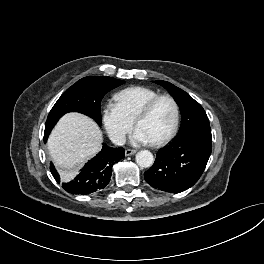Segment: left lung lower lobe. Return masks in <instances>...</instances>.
<instances>
[{
	"instance_id": "1",
	"label": "left lung lower lobe",
	"mask_w": 264,
	"mask_h": 264,
	"mask_svg": "<svg viewBox=\"0 0 264 264\" xmlns=\"http://www.w3.org/2000/svg\"><path fill=\"white\" fill-rule=\"evenodd\" d=\"M211 148L210 127L199 128L185 136L176 137L158 152L153 166L144 173V178L152 187L162 191H185L202 175Z\"/></svg>"
}]
</instances>
